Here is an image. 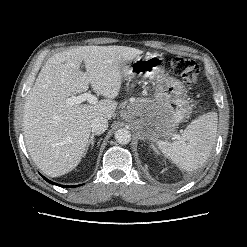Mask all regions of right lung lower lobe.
<instances>
[{"label":"right lung lower lobe","mask_w":247,"mask_h":247,"mask_svg":"<svg viewBox=\"0 0 247 247\" xmlns=\"http://www.w3.org/2000/svg\"><path fill=\"white\" fill-rule=\"evenodd\" d=\"M47 182L51 183V184H54V185H57V186H60V187H76V186H64V185H60V184H57V183H54L50 180H48L47 178H45L44 176H42Z\"/></svg>","instance_id":"1"}]
</instances>
